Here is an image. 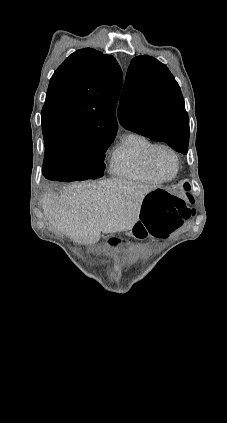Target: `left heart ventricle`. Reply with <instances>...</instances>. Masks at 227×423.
Wrapping results in <instances>:
<instances>
[{
  "label": "left heart ventricle",
  "instance_id": "obj_1",
  "mask_svg": "<svg viewBox=\"0 0 227 423\" xmlns=\"http://www.w3.org/2000/svg\"><path fill=\"white\" fill-rule=\"evenodd\" d=\"M153 163L158 173L164 178H170L176 170L175 160L172 155L163 149H159L153 156Z\"/></svg>",
  "mask_w": 227,
  "mask_h": 423
}]
</instances>
